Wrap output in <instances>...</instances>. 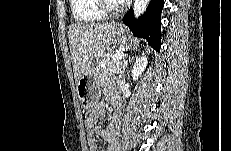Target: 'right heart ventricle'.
<instances>
[{
    "label": "right heart ventricle",
    "instance_id": "1",
    "mask_svg": "<svg viewBox=\"0 0 231 151\" xmlns=\"http://www.w3.org/2000/svg\"><path fill=\"white\" fill-rule=\"evenodd\" d=\"M71 11L77 24L95 23L103 19L98 12L96 0H72Z\"/></svg>",
    "mask_w": 231,
    "mask_h": 151
}]
</instances>
